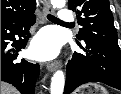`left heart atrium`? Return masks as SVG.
<instances>
[{
  "mask_svg": "<svg viewBox=\"0 0 121 94\" xmlns=\"http://www.w3.org/2000/svg\"><path fill=\"white\" fill-rule=\"evenodd\" d=\"M59 52V40L51 31H43L33 42L29 54L37 59H50Z\"/></svg>",
  "mask_w": 121,
  "mask_h": 94,
  "instance_id": "obj_1",
  "label": "left heart atrium"
}]
</instances>
